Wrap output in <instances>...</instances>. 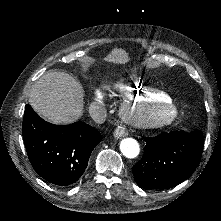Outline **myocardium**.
I'll use <instances>...</instances> for the list:
<instances>
[{
    "label": "myocardium",
    "instance_id": "obj_1",
    "mask_svg": "<svg viewBox=\"0 0 221 221\" xmlns=\"http://www.w3.org/2000/svg\"><path fill=\"white\" fill-rule=\"evenodd\" d=\"M161 99V98H160ZM157 101L134 102L126 101L124 104L116 103L114 107H123L119 115L123 118L126 127H137L148 130L171 125L179 115L177 104H166L162 108L156 106Z\"/></svg>",
    "mask_w": 221,
    "mask_h": 221
}]
</instances>
